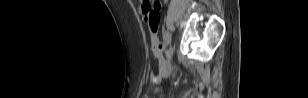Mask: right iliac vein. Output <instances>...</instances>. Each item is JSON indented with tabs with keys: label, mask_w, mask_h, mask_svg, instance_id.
<instances>
[{
	"label": "right iliac vein",
	"mask_w": 308,
	"mask_h": 98,
	"mask_svg": "<svg viewBox=\"0 0 308 98\" xmlns=\"http://www.w3.org/2000/svg\"><path fill=\"white\" fill-rule=\"evenodd\" d=\"M172 54H173V48L170 47V49H169V51H168V60H167V62H166V64H165V66H164V67L162 68V70L160 71V75H161L163 72L166 71V69H167V67H168V65H169L170 59H171V57H172Z\"/></svg>",
	"instance_id": "63e3f726"
}]
</instances>
